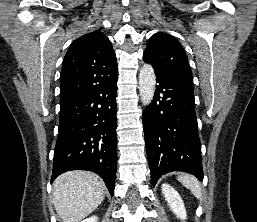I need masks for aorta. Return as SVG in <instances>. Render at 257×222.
Masks as SVG:
<instances>
[{"instance_id":"1","label":"aorta","mask_w":257,"mask_h":222,"mask_svg":"<svg viewBox=\"0 0 257 222\" xmlns=\"http://www.w3.org/2000/svg\"><path fill=\"white\" fill-rule=\"evenodd\" d=\"M156 77L150 64H144L139 73V93L144 105H149L155 91Z\"/></svg>"}]
</instances>
